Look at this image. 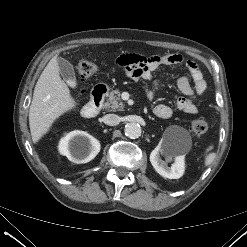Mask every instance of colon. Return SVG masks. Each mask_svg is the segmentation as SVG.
<instances>
[{
	"mask_svg": "<svg viewBox=\"0 0 247 247\" xmlns=\"http://www.w3.org/2000/svg\"><path fill=\"white\" fill-rule=\"evenodd\" d=\"M98 69V65L90 61H82L77 67L78 75L81 81H85ZM191 130L198 135L204 134L208 130V123L201 118L193 119L190 123Z\"/></svg>",
	"mask_w": 247,
	"mask_h": 247,
	"instance_id": "obj_1",
	"label": "colon"
}]
</instances>
